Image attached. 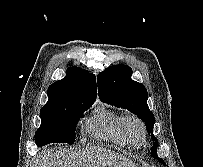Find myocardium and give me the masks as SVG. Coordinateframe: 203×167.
Masks as SVG:
<instances>
[{"instance_id": "myocardium-1", "label": "myocardium", "mask_w": 203, "mask_h": 167, "mask_svg": "<svg viewBox=\"0 0 203 167\" xmlns=\"http://www.w3.org/2000/svg\"><path fill=\"white\" fill-rule=\"evenodd\" d=\"M133 125L137 126L138 128V131H139L138 140H136L131 133V126ZM122 129L127 140L132 146H139L143 144L146 136V129H145L144 122L139 117L135 115L125 116L122 121Z\"/></svg>"}]
</instances>
